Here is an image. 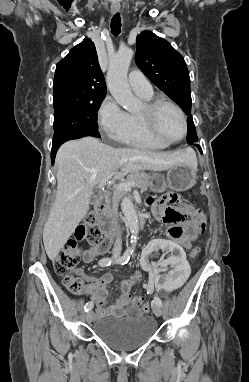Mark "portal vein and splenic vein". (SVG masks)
I'll return each instance as SVG.
<instances>
[{
  "label": "portal vein and splenic vein",
  "instance_id": "18ae733b",
  "mask_svg": "<svg viewBox=\"0 0 249 382\" xmlns=\"http://www.w3.org/2000/svg\"><path fill=\"white\" fill-rule=\"evenodd\" d=\"M114 174H115V172L112 173V175H114ZM104 182L105 181L99 183L98 188H101L103 186ZM134 185H135V181L121 182V183L115 184L114 188H117L119 190H124V191H131V189Z\"/></svg>",
  "mask_w": 249,
  "mask_h": 382
}]
</instances>
